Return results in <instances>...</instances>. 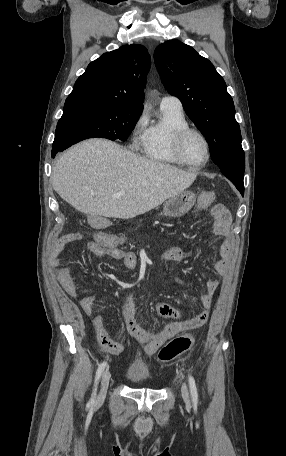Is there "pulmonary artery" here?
Returning a JSON list of instances; mask_svg holds the SVG:
<instances>
[{
  "mask_svg": "<svg viewBox=\"0 0 286 456\" xmlns=\"http://www.w3.org/2000/svg\"><path fill=\"white\" fill-rule=\"evenodd\" d=\"M161 107L170 108L178 111H183V106L181 101L172 95H165L162 97L160 102Z\"/></svg>",
  "mask_w": 286,
  "mask_h": 456,
  "instance_id": "pulmonary-artery-1",
  "label": "pulmonary artery"
}]
</instances>
